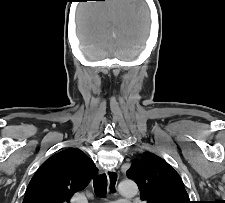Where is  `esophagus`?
I'll return each instance as SVG.
<instances>
[{
	"mask_svg": "<svg viewBox=\"0 0 225 203\" xmlns=\"http://www.w3.org/2000/svg\"><path fill=\"white\" fill-rule=\"evenodd\" d=\"M107 177H108V181H109L110 191L112 193H116L117 192V183H118V179H119L117 172L115 170L107 171Z\"/></svg>",
	"mask_w": 225,
	"mask_h": 203,
	"instance_id": "1",
	"label": "esophagus"
}]
</instances>
